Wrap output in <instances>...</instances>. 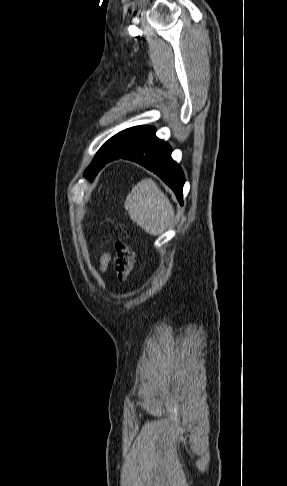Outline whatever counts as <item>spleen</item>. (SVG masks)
<instances>
[{
	"label": "spleen",
	"mask_w": 287,
	"mask_h": 486,
	"mask_svg": "<svg viewBox=\"0 0 287 486\" xmlns=\"http://www.w3.org/2000/svg\"><path fill=\"white\" fill-rule=\"evenodd\" d=\"M124 208L133 222L150 235L164 233L174 218V209L154 180L143 179L127 195Z\"/></svg>",
	"instance_id": "3e777b00"
}]
</instances>
